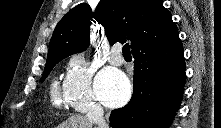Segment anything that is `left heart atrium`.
Listing matches in <instances>:
<instances>
[{
	"label": "left heart atrium",
	"mask_w": 221,
	"mask_h": 128,
	"mask_svg": "<svg viewBox=\"0 0 221 128\" xmlns=\"http://www.w3.org/2000/svg\"><path fill=\"white\" fill-rule=\"evenodd\" d=\"M95 90L102 103L115 107L124 104L129 99L131 86L122 72L108 68L98 75Z\"/></svg>",
	"instance_id": "left-heart-atrium-1"
}]
</instances>
